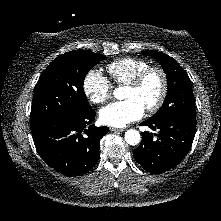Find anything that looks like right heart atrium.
I'll use <instances>...</instances> for the list:
<instances>
[{"mask_svg": "<svg viewBox=\"0 0 221 221\" xmlns=\"http://www.w3.org/2000/svg\"><path fill=\"white\" fill-rule=\"evenodd\" d=\"M85 96L93 104H102L112 96V83L99 70H90L83 80Z\"/></svg>", "mask_w": 221, "mask_h": 221, "instance_id": "right-heart-atrium-1", "label": "right heart atrium"}]
</instances>
